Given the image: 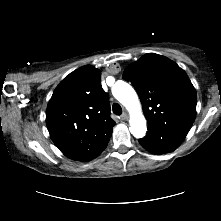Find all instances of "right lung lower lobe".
Segmentation results:
<instances>
[{"mask_svg": "<svg viewBox=\"0 0 221 221\" xmlns=\"http://www.w3.org/2000/svg\"><path fill=\"white\" fill-rule=\"evenodd\" d=\"M109 140L106 141L105 143H103L91 156H89L87 158V160L85 161H89L92 160L94 158H96L102 151H104V149L106 148L107 144H108Z\"/></svg>", "mask_w": 221, "mask_h": 221, "instance_id": "1", "label": "right lung lower lobe"}]
</instances>
